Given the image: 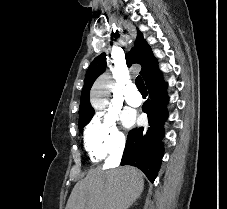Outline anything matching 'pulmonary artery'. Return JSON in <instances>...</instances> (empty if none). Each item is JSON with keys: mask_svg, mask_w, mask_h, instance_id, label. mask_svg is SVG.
I'll use <instances>...</instances> for the list:
<instances>
[{"mask_svg": "<svg viewBox=\"0 0 227 209\" xmlns=\"http://www.w3.org/2000/svg\"><path fill=\"white\" fill-rule=\"evenodd\" d=\"M127 86L128 87H125V92H133V93H129L126 95V98H125L126 103L135 107L140 106L143 102V99L140 93L136 92L137 91L136 87L138 86V83L128 82Z\"/></svg>", "mask_w": 227, "mask_h": 209, "instance_id": "obj_1", "label": "pulmonary artery"}]
</instances>
